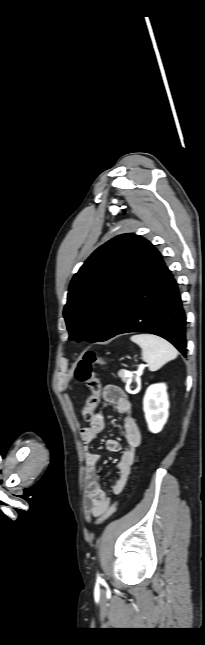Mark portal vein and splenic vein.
<instances>
[{
    "label": "portal vein and splenic vein",
    "mask_w": 205,
    "mask_h": 645,
    "mask_svg": "<svg viewBox=\"0 0 205 645\" xmlns=\"http://www.w3.org/2000/svg\"><path fill=\"white\" fill-rule=\"evenodd\" d=\"M144 367H145V365L140 366V368H139V369H138V371H137V375H140V374L142 373V371H143ZM126 375H127V376H129V377H131V376H132V373H131V372H129V371H126Z\"/></svg>",
    "instance_id": "obj_1"
}]
</instances>
